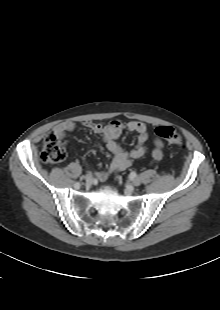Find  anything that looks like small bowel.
<instances>
[{
	"instance_id": "c3829d8e",
	"label": "small bowel",
	"mask_w": 220,
	"mask_h": 310,
	"mask_svg": "<svg viewBox=\"0 0 220 310\" xmlns=\"http://www.w3.org/2000/svg\"><path fill=\"white\" fill-rule=\"evenodd\" d=\"M83 125L95 134L104 137L108 150L112 153V160L106 170L96 173L99 180L103 181L112 173L129 168L135 159L143 157L146 152V143L149 140V132L146 124L140 121L121 122L117 120L108 123L84 122ZM76 124L72 121L61 122L54 128V132L63 139L65 135L72 132ZM137 134V141L131 150H125L117 139L123 131ZM164 143L161 139L154 140L152 158L155 161L163 157Z\"/></svg>"
}]
</instances>
